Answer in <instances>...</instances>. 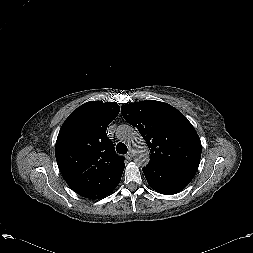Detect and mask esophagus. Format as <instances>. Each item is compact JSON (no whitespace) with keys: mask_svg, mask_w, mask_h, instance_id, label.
I'll list each match as a JSON object with an SVG mask.
<instances>
[{"mask_svg":"<svg viewBox=\"0 0 253 253\" xmlns=\"http://www.w3.org/2000/svg\"><path fill=\"white\" fill-rule=\"evenodd\" d=\"M132 157H133V151L130 150V151L127 153V155H126V158H127L128 160H130V159H132Z\"/></svg>","mask_w":253,"mask_h":253,"instance_id":"1","label":"esophagus"}]
</instances>
